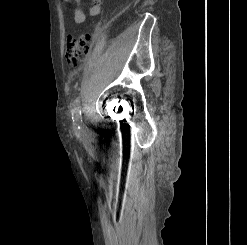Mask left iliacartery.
<instances>
[{"instance_id": "1", "label": "left iliac artery", "mask_w": 247, "mask_h": 245, "mask_svg": "<svg viewBox=\"0 0 247 245\" xmlns=\"http://www.w3.org/2000/svg\"><path fill=\"white\" fill-rule=\"evenodd\" d=\"M72 119L75 125L80 128V123L82 122V117H81V106H80V99L76 98L73 101L72 104Z\"/></svg>"}]
</instances>
